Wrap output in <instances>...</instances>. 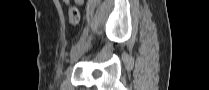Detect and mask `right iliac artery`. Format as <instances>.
<instances>
[{"instance_id":"1","label":"right iliac artery","mask_w":209,"mask_h":90,"mask_svg":"<svg viewBox=\"0 0 209 90\" xmlns=\"http://www.w3.org/2000/svg\"><path fill=\"white\" fill-rule=\"evenodd\" d=\"M87 35H88V29H87V28H84L83 33H82V35H81L79 41H78L77 44L72 48L71 53H70V56H72L76 51H78V50L81 48V46L83 45V43H84V41H85Z\"/></svg>"}]
</instances>
